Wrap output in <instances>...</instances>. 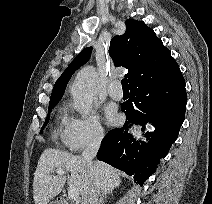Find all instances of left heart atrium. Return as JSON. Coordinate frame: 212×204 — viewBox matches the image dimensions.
<instances>
[{
    "mask_svg": "<svg viewBox=\"0 0 212 204\" xmlns=\"http://www.w3.org/2000/svg\"><path fill=\"white\" fill-rule=\"evenodd\" d=\"M117 111L114 106L108 105L105 108V119L109 124H114L117 121Z\"/></svg>",
    "mask_w": 212,
    "mask_h": 204,
    "instance_id": "39dd6f15",
    "label": "left heart atrium"
}]
</instances>
